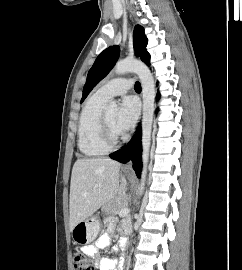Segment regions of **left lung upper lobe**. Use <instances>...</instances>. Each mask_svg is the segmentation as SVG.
Instances as JSON below:
<instances>
[{"label": "left lung upper lobe", "mask_w": 242, "mask_h": 270, "mask_svg": "<svg viewBox=\"0 0 242 270\" xmlns=\"http://www.w3.org/2000/svg\"><path fill=\"white\" fill-rule=\"evenodd\" d=\"M147 42L148 40L144 34V29L139 25L135 26L133 44L136 55L140 56L141 60L147 65H150V55L146 50ZM119 52V46H111L99 54L88 72L81 102L84 101L93 87L110 72L118 60Z\"/></svg>", "instance_id": "5c2ea615"}]
</instances>
